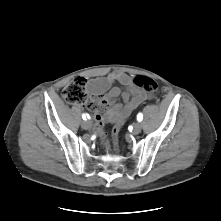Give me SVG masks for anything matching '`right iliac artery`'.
<instances>
[{
	"label": "right iliac artery",
	"instance_id": "82829eb1",
	"mask_svg": "<svg viewBox=\"0 0 221 221\" xmlns=\"http://www.w3.org/2000/svg\"><path fill=\"white\" fill-rule=\"evenodd\" d=\"M83 120H87L90 118V116L88 114H83L82 115Z\"/></svg>",
	"mask_w": 221,
	"mask_h": 221
}]
</instances>
